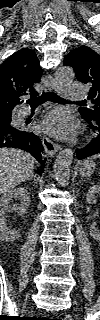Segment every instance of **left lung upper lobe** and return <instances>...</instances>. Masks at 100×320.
I'll use <instances>...</instances> for the list:
<instances>
[{
  "label": "left lung upper lobe",
  "mask_w": 100,
  "mask_h": 320,
  "mask_svg": "<svg viewBox=\"0 0 100 320\" xmlns=\"http://www.w3.org/2000/svg\"><path fill=\"white\" fill-rule=\"evenodd\" d=\"M65 66L73 67L77 80L89 83L91 88L88 99L94 106L79 108L80 114L86 119L100 117V56L87 46H80L70 51L64 59Z\"/></svg>",
  "instance_id": "left-lung-upper-lobe-1"
}]
</instances>
